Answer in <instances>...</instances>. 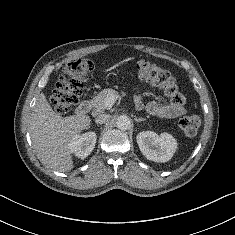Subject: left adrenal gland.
<instances>
[{
	"label": "left adrenal gland",
	"mask_w": 235,
	"mask_h": 235,
	"mask_svg": "<svg viewBox=\"0 0 235 235\" xmlns=\"http://www.w3.org/2000/svg\"><path fill=\"white\" fill-rule=\"evenodd\" d=\"M144 120H146V119L145 118H135L136 122H140V121H144Z\"/></svg>",
	"instance_id": "a2214340"
}]
</instances>
